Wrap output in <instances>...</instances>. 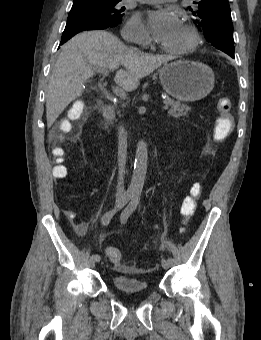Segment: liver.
Returning <instances> with one entry per match:
<instances>
[{
	"instance_id": "6515ba94",
	"label": "liver",
	"mask_w": 261,
	"mask_h": 340,
	"mask_svg": "<svg viewBox=\"0 0 261 340\" xmlns=\"http://www.w3.org/2000/svg\"><path fill=\"white\" fill-rule=\"evenodd\" d=\"M171 58L148 55L127 48L106 31H86L74 36L62 48L53 68L46 94L47 127L50 128L64 109L83 92V84L94 68L107 67L117 72L114 80L126 91L135 90L141 78L151 74Z\"/></svg>"
}]
</instances>
